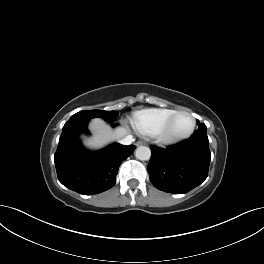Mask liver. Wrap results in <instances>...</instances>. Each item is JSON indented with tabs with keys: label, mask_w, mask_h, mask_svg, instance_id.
Instances as JSON below:
<instances>
[{
	"label": "liver",
	"mask_w": 264,
	"mask_h": 264,
	"mask_svg": "<svg viewBox=\"0 0 264 264\" xmlns=\"http://www.w3.org/2000/svg\"><path fill=\"white\" fill-rule=\"evenodd\" d=\"M90 128L93 132V136L89 139H85L84 143L92 148L101 147L112 138H121L127 133V130L121 127L112 131L111 128L99 118H95L91 121Z\"/></svg>",
	"instance_id": "6515ba94"
}]
</instances>
